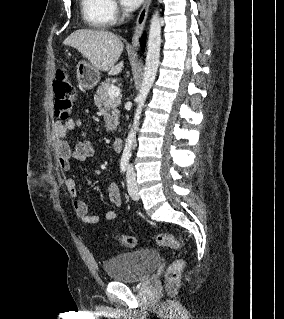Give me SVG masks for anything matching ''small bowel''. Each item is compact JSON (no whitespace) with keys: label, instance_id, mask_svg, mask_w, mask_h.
Returning a JSON list of instances; mask_svg holds the SVG:
<instances>
[{"label":"small bowel","instance_id":"obj_1","mask_svg":"<svg viewBox=\"0 0 284 319\" xmlns=\"http://www.w3.org/2000/svg\"><path fill=\"white\" fill-rule=\"evenodd\" d=\"M83 119L76 116L66 121H56L53 125L54 148L57 155L58 166L61 171L69 172L72 168V160L85 161L94 155V148L88 141H82L72 148L68 142V133L75 128H83ZM64 184L68 193L76 197L77 187L75 180L70 176H65ZM107 193L110 202L115 206L121 205L120 189L116 183H110L107 187ZM75 214L87 224H97L100 220L99 216L90 214L85 201L76 199L73 202ZM117 218V212L114 208L109 209L105 213L107 221H114Z\"/></svg>","mask_w":284,"mask_h":319}]
</instances>
